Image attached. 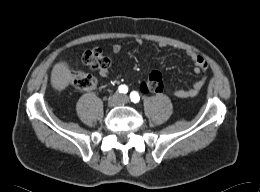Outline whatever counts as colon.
I'll return each mask as SVG.
<instances>
[{
	"label": "colon",
	"mask_w": 260,
	"mask_h": 192,
	"mask_svg": "<svg viewBox=\"0 0 260 192\" xmlns=\"http://www.w3.org/2000/svg\"><path fill=\"white\" fill-rule=\"evenodd\" d=\"M82 61L85 65L93 70L108 68L110 60L98 48H93L85 51L82 55ZM70 80L74 86L82 91H90L96 87V79L89 73L83 71H74L70 74ZM144 93H159L164 88L163 78L161 73L154 71L143 84Z\"/></svg>",
	"instance_id": "5ec220e1"
}]
</instances>
